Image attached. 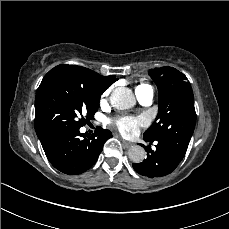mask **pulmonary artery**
Returning <instances> with one entry per match:
<instances>
[{
  "label": "pulmonary artery",
  "instance_id": "obj_1",
  "mask_svg": "<svg viewBox=\"0 0 229 229\" xmlns=\"http://www.w3.org/2000/svg\"><path fill=\"white\" fill-rule=\"evenodd\" d=\"M138 101L144 105L149 106L154 100V90L151 86L146 88L138 89L135 91Z\"/></svg>",
  "mask_w": 229,
  "mask_h": 229
}]
</instances>
